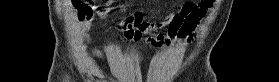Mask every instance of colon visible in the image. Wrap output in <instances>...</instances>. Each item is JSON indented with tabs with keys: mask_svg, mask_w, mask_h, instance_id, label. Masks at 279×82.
Segmentation results:
<instances>
[{
	"mask_svg": "<svg viewBox=\"0 0 279 82\" xmlns=\"http://www.w3.org/2000/svg\"><path fill=\"white\" fill-rule=\"evenodd\" d=\"M142 17L140 13L134 12L128 19H126L124 22L128 25H130L134 30L139 29L141 23H142Z\"/></svg>",
	"mask_w": 279,
	"mask_h": 82,
	"instance_id": "5ec220e1",
	"label": "colon"
}]
</instances>
